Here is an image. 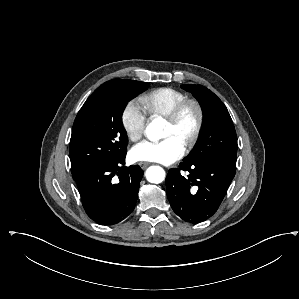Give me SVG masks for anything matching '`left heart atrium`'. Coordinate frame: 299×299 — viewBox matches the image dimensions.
I'll list each match as a JSON object with an SVG mask.
<instances>
[{
  "label": "left heart atrium",
  "mask_w": 299,
  "mask_h": 299,
  "mask_svg": "<svg viewBox=\"0 0 299 299\" xmlns=\"http://www.w3.org/2000/svg\"><path fill=\"white\" fill-rule=\"evenodd\" d=\"M184 152V145L176 138L169 137L156 142L143 140L131 148L129 157L133 161L170 164L179 160Z\"/></svg>",
  "instance_id": "1"
}]
</instances>
